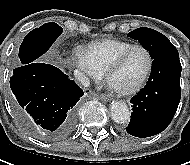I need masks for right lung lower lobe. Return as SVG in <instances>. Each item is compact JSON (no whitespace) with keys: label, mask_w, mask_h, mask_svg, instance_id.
Instances as JSON below:
<instances>
[{"label":"right lung lower lobe","mask_w":190,"mask_h":165,"mask_svg":"<svg viewBox=\"0 0 190 165\" xmlns=\"http://www.w3.org/2000/svg\"><path fill=\"white\" fill-rule=\"evenodd\" d=\"M10 87L15 114L28 131L59 140L74 130L84 92L60 69L40 61L22 65L14 70Z\"/></svg>","instance_id":"obj_1"}]
</instances>
